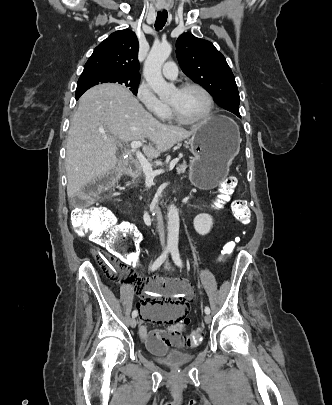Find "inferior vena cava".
I'll return each instance as SVG.
<instances>
[{"instance_id": "obj_1", "label": "inferior vena cava", "mask_w": 332, "mask_h": 405, "mask_svg": "<svg viewBox=\"0 0 332 405\" xmlns=\"http://www.w3.org/2000/svg\"><path fill=\"white\" fill-rule=\"evenodd\" d=\"M157 220H158V224H159L160 228H162L163 218H162L161 210L159 208L157 209Z\"/></svg>"}]
</instances>
